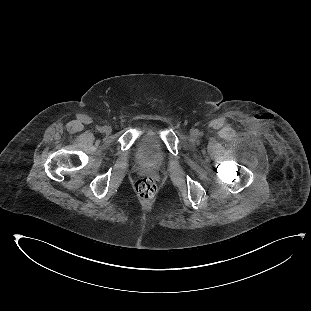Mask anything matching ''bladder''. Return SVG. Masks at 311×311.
<instances>
[{"label":"bladder","mask_w":311,"mask_h":311,"mask_svg":"<svg viewBox=\"0 0 311 311\" xmlns=\"http://www.w3.org/2000/svg\"><path fill=\"white\" fill-rule=\"evenodd\" d=\"M162 134L157 131H147L139 137L134 160L142 168H160L168 161V153L161 143Z\"/></svg>","instance_id":"bladder-1"}]
</instances>
